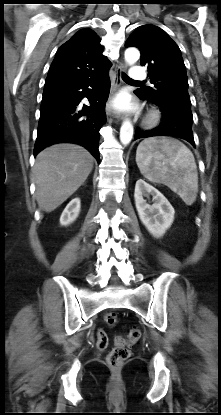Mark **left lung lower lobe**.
<instances>
[{
    "label": "left lung lower lobe",
    "instance_id": "0a47b994",
    "mask_svg": "<svg viewBox=\"0 0 221 415\" xmlns=\"http://www.w3.org/2000/svg\"><path fill=\"white\" fill-rule=\"evenodd\" d=\"M135 94L141 99H146L141 96L137 90L135 91ZM151 102L157 105L162 111L161 124L157 128L150 131H142L137 129L134 140L153 136H173L182 138L195 146L191 128L193 122L191 102L178 99Z\"/></svg>",
    "mask_w": 221,
    "mask_h": 415
}]
</instances>
